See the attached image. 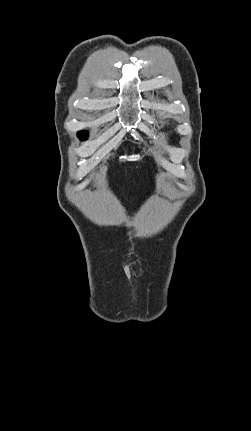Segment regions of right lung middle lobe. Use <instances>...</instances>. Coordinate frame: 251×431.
Instances as JSON below:
<instances>
[{"label": "right lung middle lobe", "instance_id": "obj_1", "mask_svg": "<svg viewBox=\"0 0 251 431\" xmlns=\"http://www.w3.org/2000/svg\"><path fill=\"white\" fill-rule=\"evenodd\" d=\"M78 137L80 140H85L87 139V134L85 132H78Z\"/></svg>", "mask_w": 251, "mask_h": 431}]
</instances>
